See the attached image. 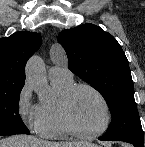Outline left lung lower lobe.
I'll return each mask as SVG.
<instances>
[{"instance_id":"left-lung-lower-lobe-1","label":"left lung lower lobe","mask_w":145,"mask_h":147,"mask_svg":"<svg viewBox=\"0 0 145 147\" xmlns=\"http://www.w3.org/2000/svg\"><path fill=\"white\" fill-rule=\"evenodd\" d=\"M99 140H103V141H117V140H109L104 138L103 136L99 138ZM125 142H129L131 144L134 145V147H143L144 143H139V142H132V141H125Z\"/></svg>"}]
</instances>
